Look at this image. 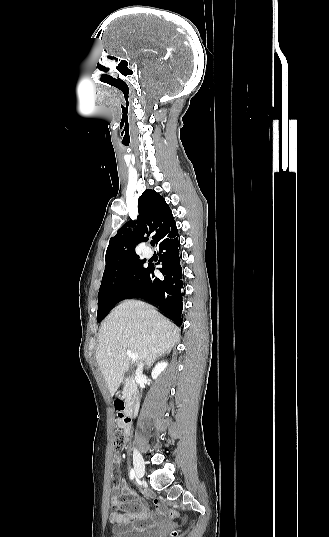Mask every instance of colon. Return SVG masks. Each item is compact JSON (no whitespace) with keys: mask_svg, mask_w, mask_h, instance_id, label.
Segmentation results:
<instances>
[{"mask_svg":"<svg viewBox=\"0 0 329 537\" xmlns=\"http://www.w3.org/2000/svg\"><path fill=\"white\" fill-rule=\"evenodd\" d=\"M117 417L123 423H127L129 421V419L127 417H125L123 414L119 413V414H117ZM126 443H127V434L124 432V430L117 429L114 432V435H113V450H114V452L115 453L121 452L125 448ZM170 516L172 518H175L176 516H178V513H176L175 511H172L170 513Z\"/></svg>","mask_w":329,"mask_h":537,"instance_id":"obj_1","label":"colon"}]
</instances>
